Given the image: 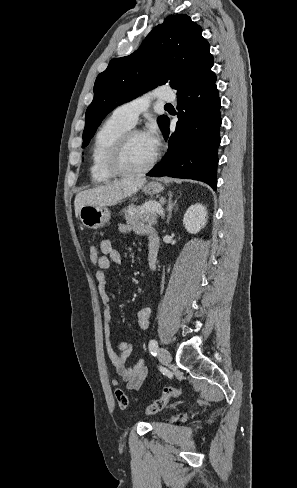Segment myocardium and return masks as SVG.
I'll use <instances>...</instances> for the list:
<instances>
[{"instance_id": "1", "label": "myocardium", "mask_w": 297, "mask_h": 488, "mask_svg": "<svg viewBox=\"0 0 297 488\" xmlns=\"http://www.w3.org/2000/svg\"><path fill=\"white\" fill-rule=\"evenodd\" d=\"M143 134L142 131L138 129H129L123 133L118 140L113 145L109 157H108V167L110 171L116 176H133L142 173H146L151 170L157 163L159 158V153L156 151L150 162L144 167L138 169H129L124 165V154L127 145L134 135Z\"/></svg>"}]
</instances>
